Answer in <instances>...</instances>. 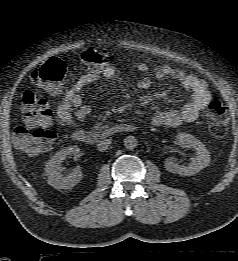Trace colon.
<instances>
[{
	"mask_svg": "<svg viewBox=\"0 0 238 261\" xmlns=\"http://www.w3.org/2000/svg\"><path fill=\"white\" fill-rule=\"evenodd\" d=\"M109 60L110 55L105 49H88L81 55L82 64L93 72L100 71ZM65 74V63L59 58H51L33 72L32 79L37 85L57 93ZM22 111L24 125L14 129V144L28 155L43 153L57 137L50 129L52 112L47 100L27 91L22 97ZM206 122L213 137H223L228 128V108L218 100L211 101L206 111Z\"/></svg>",
	"mask_w": 238,
	"mask_h": 261,
	"instance_id": "colon-1",
	"label": "colon"
}]
</instances>
